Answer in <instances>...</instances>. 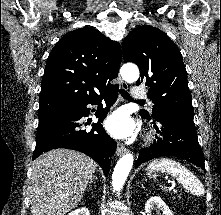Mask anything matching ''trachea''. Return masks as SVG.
<instances>
[{
    "label": "trachea",
    "instance_id": "obj_1",
    "mask_svg": "<svg viewBox=\"0 0 221 215\" xmlns=\"http://www.w3.org/2000/svg\"><path fill=\"white\" fill-rule=\"evenodd\" d=\"M120 94L123 98L127 99V100H131L133 101V98H131V96L129 95V93L127 91H125L124 89H120ZM137 102L140 103H144L143 100H136Z\"/></svg>",
    "mask_w": 221,
    "mask_h": 215
}]
</instances>
